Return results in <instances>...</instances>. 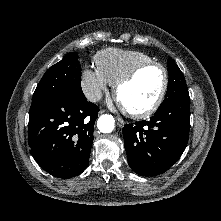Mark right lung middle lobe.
Here are the masks:
<instances>
[{
	"mask_svg": "<svg viewBox=\"0 0 221 221\" xmlns=\"http://www.w3.org/2000/svg\"><path fill=\"white\" fill-rule=\"evenodd\" d=\"M64 94L84 96L81 89V66L76 53H68L46 71L33 94L30 112L45 101Z\"/></svg>",
	"mask_w": 221,
	"mask_h": 221,
	"instance_id": "dd1d6c3e",
	"label": "right lung middle lobe"
}]
</instances>
